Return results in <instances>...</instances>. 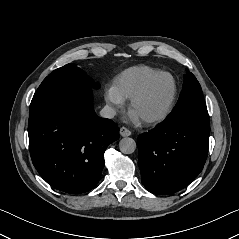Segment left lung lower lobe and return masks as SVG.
<instances>
[{
    "mask_svg": "<svg viewBox=\"0 0 239 239\" xmlns=\"http://www.w3.org/2000/svg\"><path fill=\"white\" fill-rule=\"evenodd\" d=\"M206 108L192 107L138 136L142 184L169 195L188 186L202 171L209 143Z\"/></svg>",
    "mask_w": 239,
    "mask_h": 239,
    "instance_id": "obj_1",
    "label": "left lung lower lobe"
}]
</instances>
